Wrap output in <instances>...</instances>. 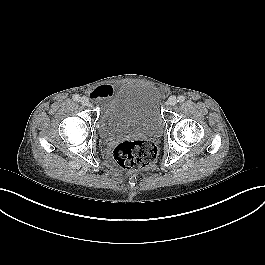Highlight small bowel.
I'll use <instances>...</instances> for the list:
<instances>
[{"label": "small bowel", "mask_w": 265, "mask_h": 265, "mask_svg": "<svg viewBox=\"0 0 265 265\" xmlns=\"http://www.w3.org/2000/svg\"><path fill=\"white\" fill-rule=\"evenodd\" d=\"M115 93V88L111 85H100L91 92L92 99L96 100L99 104Z\"/></svg>", "instance_id": "obj_1"}]
</instances>
